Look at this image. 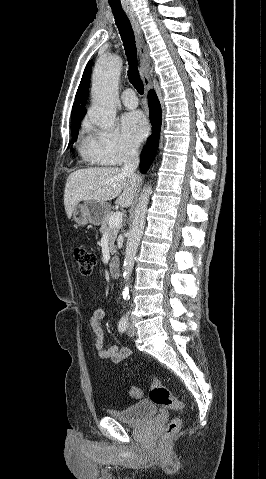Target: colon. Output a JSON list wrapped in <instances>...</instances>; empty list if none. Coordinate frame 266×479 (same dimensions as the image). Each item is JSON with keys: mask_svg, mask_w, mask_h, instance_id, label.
I'll use <instances>...</instances> for the list:
<instances>
[{"mask_svg": "<svg viewBox=\"0 0 266 479\" xmlns=\"http://www.w3.org/2000/svg\"><path fill=\"white\" fill-rule=\"evenodd\" d=\"M73 258L77 265L79 274L88 276L91 274L95 265V255L89 250L77 247L73 251ZM130 394L134 398H140L142 396V390L139 387L132 386L130 388ZM149 398L156 405L168 407L175 411H183L184 404L178 398H176L161 382L158 378L152 376V384L149 392ZM181 419L176 417L172 419L164 430L162 440L168 442L174 435H176L181 427Z\"/></svg>", "mask_w": 266, "mask_h": 479, "instance_id": "colon-1", "label": "colon"}]
</instances>
